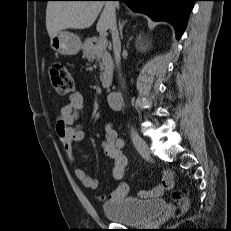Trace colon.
<instances>
[{
    "label": "colon",
    "instance_id": "colon-1",
    "mask_svg": "<svg viewBox=\"0 0 231 231\" xmlns=\"http://www.w3.org/2000/svg\"><path fill=\"white\" fill-rule=\"evenodd\" d=\"M51 83L55 92L60 96H67L74 92V78L68 69L61 63H53L50 67ZM177 201L176 214H182L188 208V201L181 194L176 193Z\"/></svg>",
    "mask_w": 231,
    "mask_h": 231
}]
</instances>
